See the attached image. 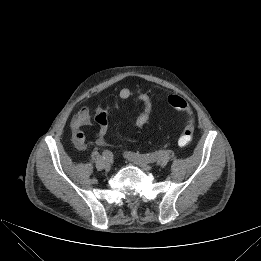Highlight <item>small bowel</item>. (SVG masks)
I'll use <instances>...</instances> for the list:
<instances>
[{
  "label": "small bowel",
  "mask_w": 261,
  "mask_h": 261,
  "mask_svg": "<svg viewBox=\"0 0 261 261\" xmlns=\"http://www.w3.org/2000/svg\"><path fill=\"white\" fill-rule=\"evenodd\" d=\"M133 95V91L124 87L114 95L109 102H104L95 108L94 121L98 126V132L95 136V142L98 145L105 143V136L108 130V120L113 111L121 112L120 101H127ZM135 106L143 105L144 109L135 121L136 127L144 126L150 119L153 107V93L152 91H143L137 89V94L134 97ZM91 122L90 109L87 106H83L72 118L70 122V129L72 133V140L79 150L86 148V136L82 131V127Z\"/></svg>",
  "instance_id": "obj_1"
}]
</instances>
